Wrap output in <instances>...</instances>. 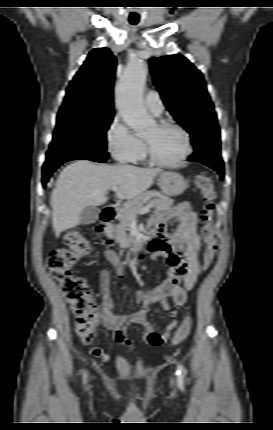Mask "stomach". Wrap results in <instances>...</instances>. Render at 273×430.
Returning a JSON list of instances; mask_svg holds the SVG:
<instances>
[{"label":"stomach","mask_w":273,"mask_h":430,"mask_svg":"<svg viewBox=\"0 0 273 430\" xmlns=\"http://www.w3.org/2000/svg\"><path fill=\"white\" fill-rule=\"evenodd\" d=\"M158 185L166 196H178L187 188L184 177L173 171H164L159 174Z\"/></svg>","instance_id":"obj_1"}]
</instances>
